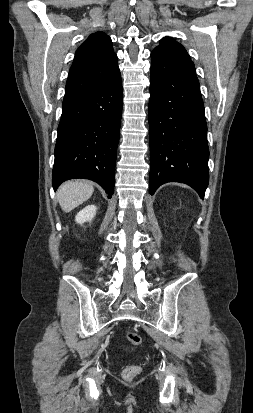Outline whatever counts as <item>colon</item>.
<instances>
[{
  "label": "colon",
  "mask_w": 253,
  "mask_h": 413,
  "mask_svg": "<svg viewBox=\"0 0 253 413\" xmlns=\"http://www.w3.org/2000/svg\"><path fill=\"white\" fill-rule=\"evenodd\" d=\"M125 337L128 343L133 347H136L141 344V341H142L141 336L134 331H127L125 333ZM140 370H141L140 366H137V365L128 366L123 371V374H122L123 378L125 380L130 381L140 373Z\"/></svg>",
  "instance_id": "5ec220e1"
}]
</instances>
